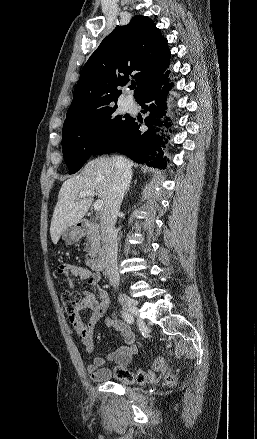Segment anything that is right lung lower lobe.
<instances>
[{"label": "right lung lower lobe", "instance_id": "1", "mask_svg": "<svg viewBox=\"0 0 257 439\" xmlns=\"http://www.w3.org/2000/svg\"><path fill=\"white\" fill-rule=\"evenodd\" d=\"M169 88L171 84L168 85V76L162 74L137 101L147 114L144 121L147 130L141 128L142 120L131 118L116 137L101 145L92 155L119 152L137 163L165 168L168 159L164 156L166 139L163 134L170 131L172 124L169 119L161 121L159 118L166 114L165 101Z\"/></svg>", "mask_w": 257, "mask_h": 439}]
</instances>
